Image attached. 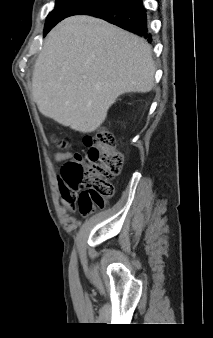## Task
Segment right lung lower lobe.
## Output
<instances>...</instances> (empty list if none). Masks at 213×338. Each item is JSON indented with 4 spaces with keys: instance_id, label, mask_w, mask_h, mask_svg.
I'll use <instances>...</instances> for the list:
<instances>
[{
    "instance_id": "1",
    "label": "right lung lower lobe",
    "mask_w": 213,
    "mask_h": 338,
    "mask_svg": "<svg viewBox=\"0 0 213 338\" xmlns=\"http://www.w3.org/2000/svg\"><path fill=\"white\" fill-rule=\"evenodd\" d=\"M73 15L95 16L151 41L142 0H92L78 7L69 16Z\"/></svg>"
}]
</instances>
